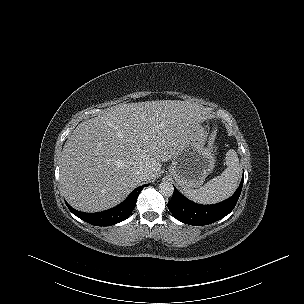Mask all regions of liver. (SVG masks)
<instances>
[{
	"label": "liver",
	"mask_w": 304,
	"mask_h": 304,
	"mask_svg": "<svg viewBox=\"0 0 304 304\" xmlns=\"http://www.w3.org/2000/svg\"><path fill=\"white\" fill-rule=\"evenodd\" d=\"M210 116L188 101L119 104L81 122L68 137L60 160L61 190L77 210L99 212L116 206L143 183L138 169L156 178L193 128Z\"/></svg>",
	"instance_id": "1"
}]
</instances>
